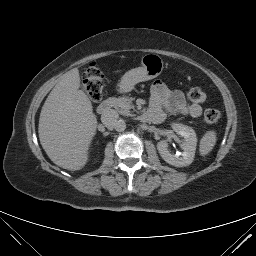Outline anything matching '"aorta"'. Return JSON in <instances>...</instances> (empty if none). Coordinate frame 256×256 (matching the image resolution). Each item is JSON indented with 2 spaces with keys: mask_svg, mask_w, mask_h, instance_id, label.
Masks as SVG:
<instances>
[{
  "mask_svg": "<svg viewBox=\"0 0 256 256\" xmlns=\"http://www.w3.org/2000/svg\"><path fill=\"white\" fill-rule=\"evenodd\" d=\"M117 131H123L126 129V122L123 119H120L115 128Z\"/></svg>",
  "mask_w": 256,
  "mask_h": 256,
  "instance_id": "aorta-1",
  "label": "aorta"
}]
</instances>
